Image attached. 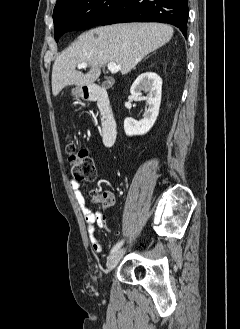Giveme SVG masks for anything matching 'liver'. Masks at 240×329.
Masks as SVG:
<instances>
[{"label": "liver", "mask_w": 240, "mask_h": 329, "mask_svg": "<svg viewBox=\"0 0 240 329\" xmlns=\"http://www.w3.org/2000/svg\"><path fill=\"white\" fill-rule=\"evenodd\" d=\"M171 26L160 23H124L98 27L81 34L55 60L52 69V93L57 96L68 85L93 84L101 67L114 62L121 65V74L129 73L149 53L170 41ZM88 63L89 72L76 71Z\"/></svg>", "instance_id": "obj_1"}]
</instances>
